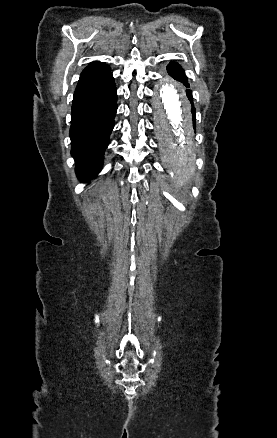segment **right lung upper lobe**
I'll return each instance as SVG.
<instances>
[{
	"instance_id": "obj_1",
	"label": "right lung upper lobe",
	"mask_w": 277,
	"mask_h": 438,
	"mask_svg": "<svg viewBox=\"0 0 277 438\" xmlns=\"http://www.w3.org/2000/svg\"><path fill=\"white\" fill-rule=\"evenodd\" d=\"M110 70V67L102 62L90 63L81 73L79 81L95 77Z\"/></svg>"
}]
</instances>
